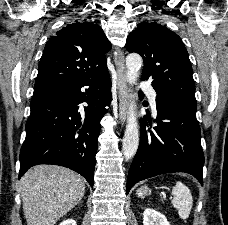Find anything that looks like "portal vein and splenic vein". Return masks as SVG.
I'll return each mask as SVG.
<instances>
[{"label":"portal vein and splenic vein","mask_w":228,"mask_h":225,"mask_svg":"<svg viewBox=\"0 0 228 225\" xmlns=\"http://www.w3.org/2000/svg\"><path fill=\"white\" fill-rule=\"evenodd\" d=\"M173 198H174V197H173ZM160 200H162V203H163V204H166V203H167L166 195H160Z\"/></svg>","instance_id":"1"}]
</instances>
